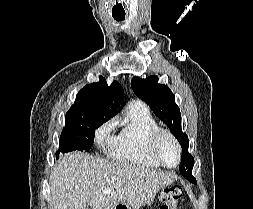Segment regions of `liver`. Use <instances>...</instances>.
I'll use <instances>...</instances> for the list:
<instances>
[{
	"label": "liver",
	"instance_id": "1",
	"mask_svg": "<svg viewBox=\"0 0 253 209\" xmlns=\"http://www.w3.org/2000/svg\"><path fill=\"white\" fill-rule=\"evenodd\" d=\"M176 179L169 172L75 151L60 157L51 172V209H114L118 203L139 209Z\"/></svg>",
	"mask_w": 253,
	"mask_h": 209
}]
</instances>
